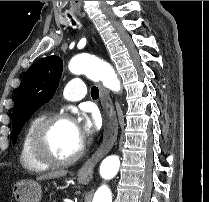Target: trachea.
I'll use <instances>...</instances> for the list:
<instances>
[{
	"label": "trachea",
	"instance_id": "3493384b",
	"mask_svg": "<svg viewBox=\"0 0 209 202\" xmlns=\"http://www.w3.org/2000/svg\"><path fill=\"white\" fill-rule=\"evenodd\" d=\"M69 18H71V16H69ZM72 24L75 25V22L72 20ZM91 97L92 99L96 100L99 97V89L96 86H93L91 88Z\"/></svg>",
	"mask_w": 209,
	"mask_h": 202
}]
</instances>
